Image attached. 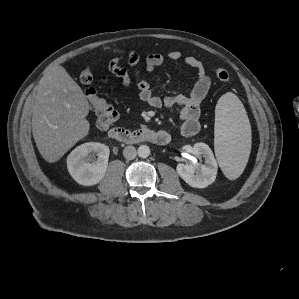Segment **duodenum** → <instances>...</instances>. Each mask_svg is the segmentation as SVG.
Listing matches in <instances>:
<instances>
[{
	"instance_id": "410a0bca",
	"label": "duodenum",
	"mask_w": 299,
	"mask_h": 299,
	"mask_svg": "<svg viewBox=\"0 0 299 299\" xmlns=\"http://www.w3.org/2000/svg\"><path fill=\"white\" fill-rule=\"evenodd\" d=\"M109 137L125 144L152 142L155 144L164 145L170 140V137L166 132L154 131L147 127L133 130L124 127H114L109 131Z\"/></svg>"
}]
</instances>
